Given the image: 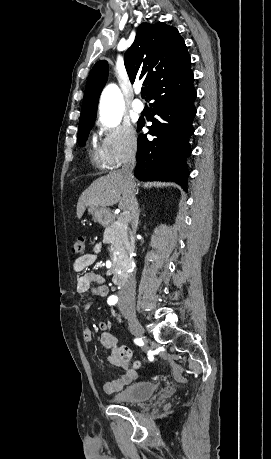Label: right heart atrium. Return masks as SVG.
Returning <instances> with one entry per match:
<instances>
[{
	"label": "right heart atrium",
	"mask_w": 271,
	"mask_h": 459,
	"mask_svg": "<svg viewBox=\"0 0 271 459\" xmlns=\"http://www.w3.org/2000/svg\"><path fill=\"white\" fill-rule=\"evenodd\" d=\"M98 148L100 164L108 169L117 168L126 158L132 156L137 149V136L130 124L118 125L110 129L99 127L94 134Z\"/></svg>",
	"instance_id": "d8ad5b80"
}]
</instances>
